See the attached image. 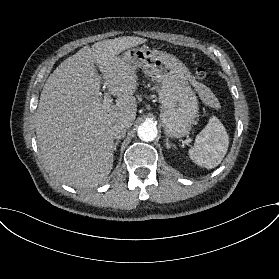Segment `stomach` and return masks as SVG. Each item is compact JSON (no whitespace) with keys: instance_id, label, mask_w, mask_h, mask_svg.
I'll return each mask as SVG.
<instances>
[{"instance_id":"0dacf381","label":"stomach","mask_w":279,"mask_h":279,"mask_svg":"<svg viewBox=\"0 0 279 279\" xmlns=\"http://www.w3.org/2000/svg\"><path fill=\"white\" fill-rule=\"evenodd\" d=\"M142 69L159 89L160 120L167 136L181 138L189 133L198 116V99L189 81L188 68L176 56L148 46L131 48L121 58Z\"/></svg>"}]
</instances>
